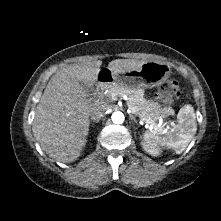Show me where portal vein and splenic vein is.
<instances>
[{"mask_svg": "<svg viewBox=\"0 0 221 221\" xmlns=\"http://www.w3.org/2000/svg\"><path fill=\"white\" fill-rule=\"evenodd\" d=\"M175 125V124H174ZM149 128H154V126L151 124L150 126H149Z\"/></svg>", "mask_w": 221, "mask_h": 221, "instance_id": "1", "label": "portal vein and splenic vein"}]
</instances>
